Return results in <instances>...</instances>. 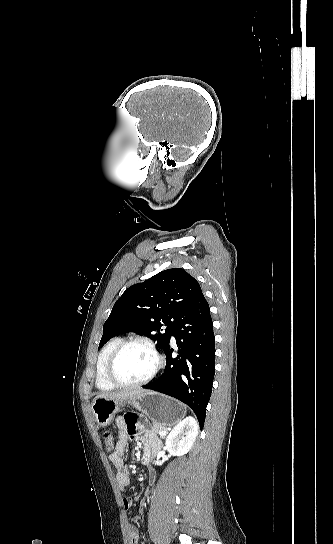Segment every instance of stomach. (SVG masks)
Segmentation results:
<instances>
[{"label": "stomach", "instance_id": "0dacf381", "mask_svg": "<svg viewBox=\"0 0 333 544\" xmlns=\"http://www.w3.org/2000/svg\"><path fill=\"white\" fill-rule=\"evenodd\" d=\"M125 403L147 415L153 424L163 427L175 425L186 414V408L180 402L157 392L146 391L127 399H95L92 412L97 424L100 427L108 426Z\"/></svg>", "mask_w": 333, "mask_h": 544}]
</instances>
